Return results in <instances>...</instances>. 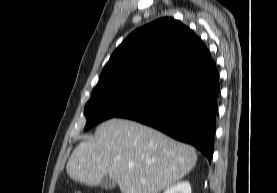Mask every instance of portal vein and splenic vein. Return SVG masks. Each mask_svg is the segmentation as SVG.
I'll return each mask as SVG.
<instances>
[{
	"mask_svg": "<svg viewBox=\"0 0 277 193\" xmlns=\"http://www.w3.org/2000/svg\"><path fill=\"white\" fill-rule=\"evenodd\" d=\"M133 166L132 165H129V169H131Z\"/></svg>",
	"mask_w": 277,
	"mask_h": 193,
	"instance_id": "18ae733b",
	"label": "portal vein and splenic vein"
}]
</instances>
